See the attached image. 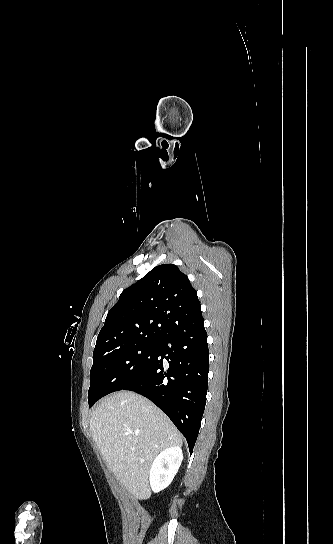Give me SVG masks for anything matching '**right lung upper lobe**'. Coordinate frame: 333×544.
<instances>
[{"label":"right lung upper lobe","mask_w":333,"mask_h":544,"mask_svg":"<svg viewBox=\"0 0 333 544\" xmlns=\"http://www.w3.org/2000/svg\"><path fill=\"white\" fill-rule=\"evenodd\" d=\"M201 315L188 277L176 265L156 266L121 293L99 332L94 355L136 340H159Z\"/></svg>","instance_id":"obj_1"}]
</instances>
